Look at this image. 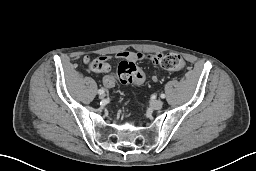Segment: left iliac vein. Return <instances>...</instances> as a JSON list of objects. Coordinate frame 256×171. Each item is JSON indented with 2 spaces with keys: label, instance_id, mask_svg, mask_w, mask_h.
<instances>
[{
  "label": "left iliac vein",
  "instance_id": "obj_1",
  "mask_svg": "<svg viewBox=\"0 0 256 171\" xmlns=\"http://www.w3.org/2000/svg\"><path fill=\"white\" fill-rule=\"evenodd\" d=\"M151 105L155 110H160L163 106V102L160 99H157L152 101Z\"/></svg>",
  "mask_w": 256,
  "mask_h": 171
}]
</instances>
